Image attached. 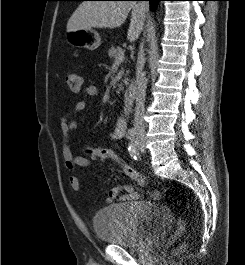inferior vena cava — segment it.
<instances>
[{
    "label": "inferior vena cava",
    "mask_w": 245,
    "mask_h": 265,
    "mask_svg": "<svg viewBox=\"0 0 245 265\" xmlns=\"http://www.w3.org/2000/svg\"><path fill=\"white\" fill-rule=\"evenodd\" d=\"M143 12H147L149 9L148 2L139 3ZM144 45L141 43L140 50L138 52V59L136 64V91H135V113L133 126L138 134H144L145 124H144V112H145V96H146V85L147 80L143 73L144 68Z\"/></svg>",
    "instance_id": "602c4592"
}]
</instances>
